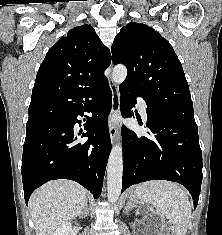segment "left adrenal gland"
<instances>
[{"label": "left adrenal gland", "mask_w": 222, "mask_h": 235, "mask_svg": "<svg viewBox=\"0 0 222 235\" xmlns=\"http://www.w3.org/2000/svg\"><path fill=\"white\" fill-rule=\"evenodd\" d=\"M127 208H129V205L127 206ZM127 210V212H128V209H126Z\"/></svg>", "instance_id": "a2214340"}]
</instances>
